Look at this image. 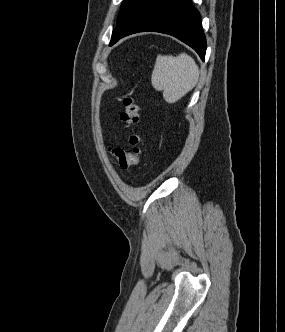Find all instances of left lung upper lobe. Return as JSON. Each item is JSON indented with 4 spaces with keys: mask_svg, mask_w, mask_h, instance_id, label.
Here are the masks:
<instances>
[{
    "mask_svg": "<svg viewBox=\"0 0 285 332\" xmlns=\"http://www.w3.org/2000/svg\"><path fill=\"white\" fill-rule=\"evenodd\" d=\"M152 0H124L117 20V26L112 32L111 42L123 32Z\"/></svg>",
    "mask_w": 285,
    "mask_h": 332,
    "instance_id": "5c2ea615",
    "label": "left lung upper lobe"
}]
</instances>
